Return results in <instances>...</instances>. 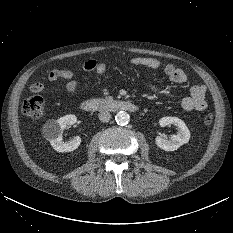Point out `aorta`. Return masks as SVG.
Returning <instances> with one entry per match:
<instances>
[{
	"label": "aorta",
	"mask_w": 233,
	"mask_h": 233,
	"mask_svg": "<svg viewBox=\"0 0 233 233\" xmlns=\"http://www.w3.org/2000/svg\"><path fill=\"white\" fill-rule=\"evenodd\" d=\"M115 121L118 125L124 126L127 125L130 121V116L125 111H119L115 116Z\"/></svg>",
	"instance_id": "762f6f07"
}]
</instances>
